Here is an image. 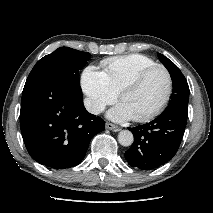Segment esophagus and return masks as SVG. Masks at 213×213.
<instances>
[{
  "label": "esophagus",
  "instance_id": "34e87169",
  "mask_svg": "<svg viewBox=\"0 0 213 213\" xmlns=\"http://www.w3.org/2000/svg\"><path fill=\"white\" fill-rule=\"evenodd\" d=\"M105 127H106V129L112 130L114 132H118V131L121 130L118 126H116V125H114V124H112L110 122H107Z\"/></svg>",
  "mask_w": 213,
  "mask_h": 213
}]
</instances>
